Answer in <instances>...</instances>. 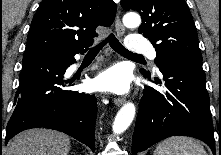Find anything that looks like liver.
<instances>
[{
	"mask_svg": "<svg viewBox=\"0 0 221 155\" xmlns=\"http://www.w3.org/2000/svg\"><path fill=\"white\" fill-rule=\"evenodd\" d=\"M70 139L67 135L48 129H31L15 136L5 155H68Z\"/></svg>",
	"mask_w": 221,
	"mask_h": 155,
	"instance_id": "1",
	"label": "liver"
}]
</instances>
